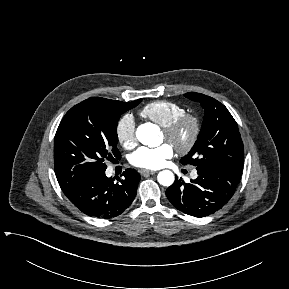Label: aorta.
Listing matches in <instances>:
<instances>
[{
  "mask_svg": "<svg viewBox=\"0 0 289 289\" xmlns=\"http://www.w3.org/2000/svg\"><path fill=\"white\" fill-rule=\"evenodd\" d=\"M158 134L157 126L151 123H145L137 128L136 136L140 143L154 147L157 145L156 135ZM157 180L163 186H171L175 180L174 174L170 170L160 171Z\"/></svg>",
  "mask_w": 289,
  "mask_h": 289,
  "instance_id": "obj_1",
  "label": "aorta"
}]
</instances>
